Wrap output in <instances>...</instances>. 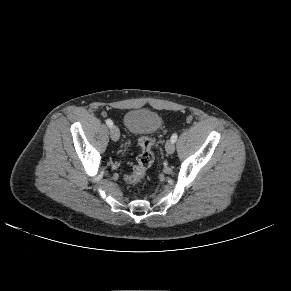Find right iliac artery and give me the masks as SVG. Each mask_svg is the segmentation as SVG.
I'll return each mask as SVG.
<instances>
[{
  "label": "right iliac artery",
  "mask_w": 291,
  "mask_h": 291,
  "mask_svg": "<svg viewBox=\"0 0 291 291\" xmlns=\"http://www.w3.org/2000/svg\"><path fill=\"white\" fill-rule=\"evenodd\" d=\"M106 124H107V126L110 127V128L113 126V122H112V120H110V119H107V120H106Z\"/></svg>",
  "instance_id": "obj_1"
}]
</instances>
